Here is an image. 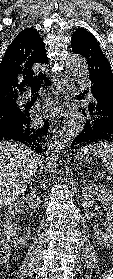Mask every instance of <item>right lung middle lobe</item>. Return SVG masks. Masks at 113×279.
<instances>
[{"label":"right lung middle lobe","instance_id":"obj_1","mask_svg":"<svg viewBox=\"0 0 113 279\" xmlns=\"http://www.w3.org/2000/svg\"><path fill=\"white\" fill-rule=\"evenodd\" d=\"M22 111L17 107V104L7 106L0 109V125L10 123L18 119L22 115Z\"/></svg>","mask_w":113,"mask_h":279}]
</instances>
